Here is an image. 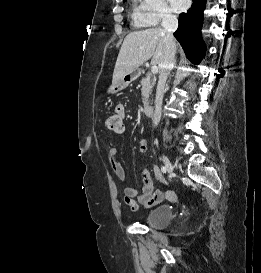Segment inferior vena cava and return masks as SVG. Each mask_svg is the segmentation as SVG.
<instances>
[{"label":"inferior vena cava","mask_w":261,"mask_h":273,"mask_svg":"<svg viewBox=\"0 0 261 273\" xmlns=\"http://www.w3.org/2000/svg\"><path fill=\"white\" fill-rule=\"evenodd\" d=\"M161 25L166 32V50L164 59L159 67V80L156 89L155 110L153 115L154 126H157L160 122L166 80L175 63L176 45L173 33L178 28V19L174 13L168 10L163 15Z\"/></svg>","instance_id":"602c4592"}]
</instances>
